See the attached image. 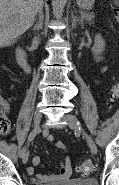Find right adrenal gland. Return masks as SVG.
<instances>
[{
	"mask_svg": "<svg viewBox=\"0 0 119 185\" xmlns=\"http://www.w3.org/2000/svg\"><path fill=\"white\" fill-rule=\"evenodd\" d=\"M43 18H44L43 11L40 10L39 11V20H38V22L33 27V30L34 31H38V30H41L42 29Z\"/></svg>",
	"mask_w": 119,
	"mask_h": 185,
	"instance_id": "1",
	"label": "right adrenal gland"
}]
</instances>
